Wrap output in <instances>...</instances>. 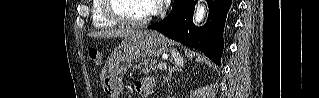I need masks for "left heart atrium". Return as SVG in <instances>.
<instances>
[{
	"label": "left heart atrium",
	"instance_id": "1",
	"mask_svg": "<svg viewBox=\"0 0 319 98\" xmlns=\"http://www.w3.org/2000/svg\"><path fill=\"white\" fill-rule=\"evenodd\" d=\"M169 0H153L152 3H153V8L156 10V9H159L163 6L164 3H168Z\"/></svg>",
	"mask_w": 319,
	"mask_h": 98
}]
</instances>
